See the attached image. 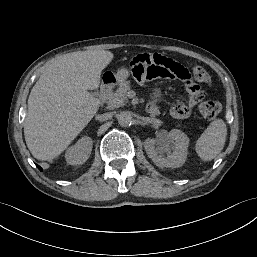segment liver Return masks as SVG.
I'll return each instance as SVG.
<instances>
[{"label":"liver","instance_id":"1","mask_svg":"<svg viewBox=\"0 0 257 257\" xmlns=\"http://www.w3.org/2000/svg\"><path fill=\"white\" fill-rule=\"evenodd\" d=\"M113 57L106 50L77 51L43 71L30 92L24 121L25 141L36 159L59 156L97 113L100 102L88 90L99 88Z\"/></svg>","mask_w":257,"mask_h":257}]
</instances>
